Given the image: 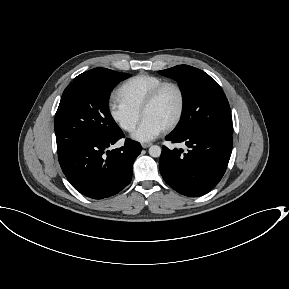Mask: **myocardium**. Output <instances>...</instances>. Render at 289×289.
Listing matches in <instances>:
<instances>
[{
  "label": "myocardium",
  "instance_id": "f54148a6",
  "mask_svg": "<svg viewBox=\"0 0 289 289\" xmlns=\"http://www.w3.org/2000/svg\"><path fill=\"white\" fill-rule=\"evenodd\" d=\"M167 87L174 88L177 91L178 96H179V106H178L177 113L175 117L173 118V120L165 127V130H172L181 121L184 111H185V105H186V98H185L184 90L178 83L171 82V81H164L163 83L156 86L145 99L141 107V114L142 116L144 115L145 111L156 102L160 94Z\"/></svg>",
  "mask_w": 289,
  "mask_h": 289
}]
</instances>
